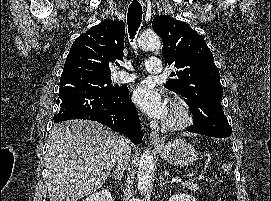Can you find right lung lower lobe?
Here are the masks:
<instances>
[{"instance_id": "obj_1", "label": "right lung lower lobe", "mask_w": 271, "mask_h": 201, "mask_svg": "<svg viewBox=\"0 0 271 201\" xmlns=\"http://www.w3.org/2000/svg\"><path fill=\"white\" fill-rule=\"evenodd\" d=\"M57 104L60 111L54 116L55 122L93 120L127 134L136 144L142 140L138 113L129 100L127 87H119L117 91L109 93L66 85L59 90Z\"/></svg>"}]
</instances>
